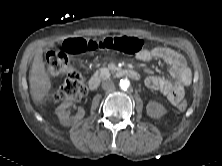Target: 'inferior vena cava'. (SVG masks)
Wrapping results in <instances>:
<instances>
[{
  "label": "inferior vena cava",
  "mask_w": 222,
  "mask_h": 166,
  "mask_svg": "<svg viewBox=\"0 0 222 166\" xmlns=\"http://www.w3.org/2000/svg\"><path fill=\"white\" fill-rule=\"evenodd\" d=\"M102 88L106 91H112L115 89L114 82L110 79L102 81Z\"/></svg>",
  "instance_id": "602c4592"
}]
</instances>
